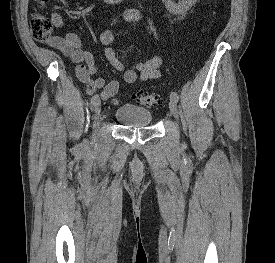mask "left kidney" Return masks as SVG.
Segmentation results:
<instances>
[{"label": "left kidney", "mask_w": 275, "mask_h": 263, "mask_svg": "<svg viewBox=\"0 0 275 263\" xmlns=\"http://www.w3.org/2000/svg\"><path fill=\"white\" fill-rule=\"evenodd\" d=\"M166 9L174 15H183L196 3L197 0H181L175 3L173 0H162Z\"/></svg>", "instance_id": "5707ae66"}]
</instances>
